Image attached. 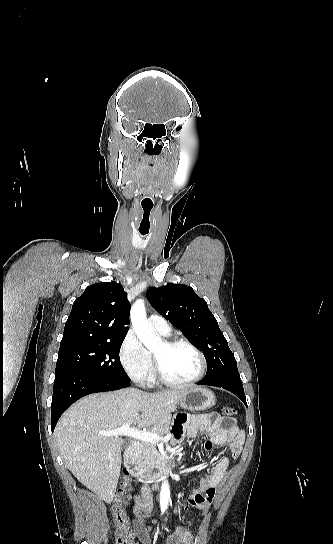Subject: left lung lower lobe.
Listing matches in <instances>:
<instances>
[{
  "instance_id": "left-lung-lower-lobe-1",
  "label": "left lung lower lobe",
  "mask_w": 333,
  "mask_h": 544,
  "mask_svg": "<svg viewBox=\"0 0 333 544\" xmlns=\"http://www.w3.org/2000/svg\"><path fill=\"white\" fill-rule=\"evenodd\" d=\"M197 384L224 388L239 397L247 407L243 385L237 375H221L210 379H203Z\"/></svg>"
}]
</instances>
